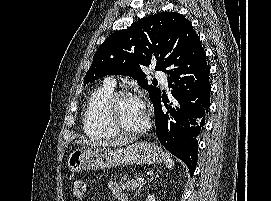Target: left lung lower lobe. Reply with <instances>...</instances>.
Listing matches in <instances>:
<instances>
[{
  "label": "left lung lower lobe",
  "instance_id": "0a47b994",
  "mask_svg": "<svg viewBox=\"0 0 271 201\" xmlns=\"http://www.w3.org/2000/svg\"><path fill=\"white\" fill-rule=\"evenodd\" d=\"M166 71L168 87L179 105L169 103L161 92L153 101L156 135L174 156L188 166L191 176L197 164L198 135L210 107V68L199 37L179 40ZM167 111L162 109V104Z\"/></svg>",
  "mask_w": 271,
  "mask_h": 201
}]
</instances>
